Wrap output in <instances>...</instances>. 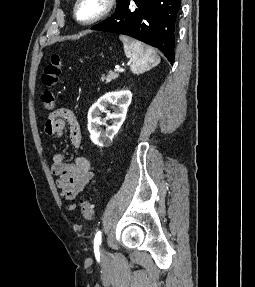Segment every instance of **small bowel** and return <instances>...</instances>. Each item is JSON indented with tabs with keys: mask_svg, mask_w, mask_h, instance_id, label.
Segmentation results:
<instances>
[{
	"mask_svg": "<svg viewBox=\"0 0 255 287\" xmlns=\"http://www.w3.org/2000/svg\"><path fill=\"white\" fill-rule=\"evenodd\" d=\"M67 126L70 141L78 148L81 144L80 126L75 114L68 108H59L48 116L45 132L56 139H62ZM52 161L50 170L52 175L57 177L56 187L65 200L75 201L93 178L90 161L84 156H77L72 161H67L62 152L55 153ZM75 207L74 203L68 205L69 210Z\"/></svg>",
	"mask_w": 255,
	"mask_h": 287,
	"instance_id": "c3829d8e",
	"label": "small bowel"
}]
</instances>
